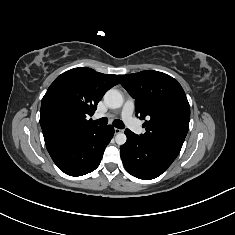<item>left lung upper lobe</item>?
<instances>
[{
  "mask_svg": "<svg viewBox=\"0 0 235 235\" xmlns=\"http://www.w3.org/2000/svg\"><path fill=\"white\" fill-rule=\"evenodd\" d=\"M119 79L135 99L140 119H148L141 136L180 152L189 129L190 106L178 81L158 71L119 75Z\"/></svg>",
  "mask_w": 235,
  "mask_h": 235,
  "instance_id": "1",
  "label": "left lung upper lobe"
}]
</instances>
